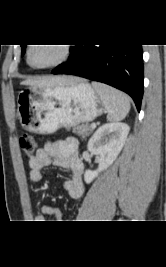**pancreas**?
Segmentation results:
<instances>
[{
    "label": "pancreas",
    "instance_id": "obj_1",
    "mask_svg": "<svg viewBox=\"0 0 166 267\" xmlns=\"http://www.w3.org/2000/svg\"><path fill=\"white\" fill-rule=\"evenodd\" d=\"M91 132L92 129L87 123L73 127V133L77 134L82 139H85L87 136H89Z\"/></svg>",
    "mask_w": 166,
    "mask_h": 267
}]
</instances>
